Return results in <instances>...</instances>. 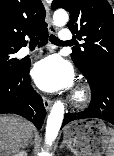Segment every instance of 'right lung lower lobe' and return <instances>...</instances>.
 Masks as SVG:
<instances>
[{"label":"right lung lower lobe","mask_w":114,"mask_h":156,"mask_svg":"<svg viewBox=\"0 0 114 156\" xmlns=\"http://www.w3.org/2000/svg\"><path fill=\"white\" fill-rule=\"evenodd\" d=\"M37 36L40 38L39 45L46 44L48 29L40 31ZM29 68V64H23L14 76L0 79V114L21 115L40 129L46 111L41 96L31 86Z\"/></svg>","instance_id":"1"}]
</instances>
